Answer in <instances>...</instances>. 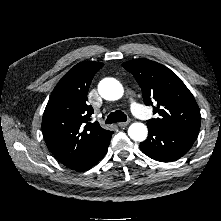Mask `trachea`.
I'll return each mask as SVG.
<instances>
[{
	"instance_id": "trachea-1",
	"label": "trachea",
	"mask_w": 221,
	"mask_h": 221,
	"mask_svg": "<svg viewBox=\"0 0 221 221\" xmlns=\"http://www.w3.org/2000/svg\"><path fill=\"white\" fill-rule=\"evenodd\" d=\"M127 120V116L124 112L117 110L115 112L110 113L107 116L105 121L106 124L116 123V122H125Z\"/></svg>"
}]
</instances>
